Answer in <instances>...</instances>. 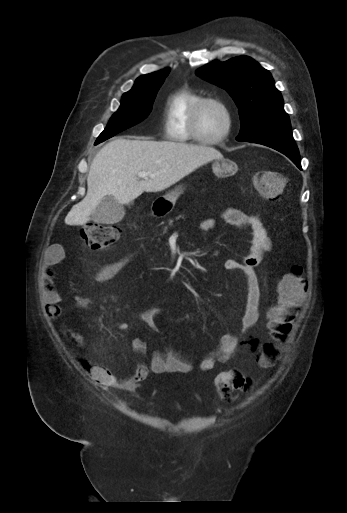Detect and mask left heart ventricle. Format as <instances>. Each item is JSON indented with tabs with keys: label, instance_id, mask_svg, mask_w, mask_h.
<instances>
[{
	"label": "left heart ventricle",
	"instance_id": "1",
	"mask_svg": "<svg viewBox=\"0 0 347 513\" xmlns=\"http://www.w3.org/2000/svg\"><path fill=\"white\" fill-rule=\"evenodd\" d=\"M227 119L223 109L214 103L206 104L199 115V131L203 137L215 138L226 129Z\"/></svg>",
	"mask_w": 347,
	"mask_h": 513
}]
</instances>
